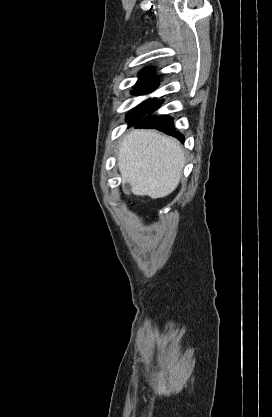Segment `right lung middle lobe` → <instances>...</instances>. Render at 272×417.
Here are the masks:
<instances>
[{
    "label": "right lung middle lobe",
    "mask_w": 272,
    "mask_h": 417,
    "mask_svg": "<svg viewBox=\"0 0 272 417\" xmlns=\"http://www.w3.org/2000/svg\"><path fill=\"white\" fill-rule=\"evenodd\" d=\"M150 91H152V90L133 91L132 93L135 94V95H140V94H146V93H148ZM155 103H156V99L147 100L146 102H144L140 106H138V107L134 108L132 111H130L129 114L127 115L126 120L130 122V125L134 124L142 116H144L145 114H147L149 112V110L152 108V106Z\"/></svg>",
    "instance_id": "right-lung-middle-lobe-1"
}]
</instances>
